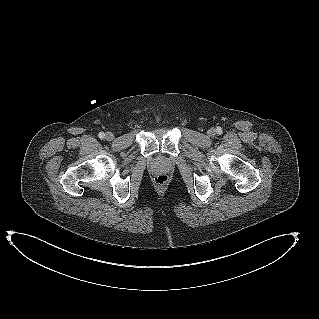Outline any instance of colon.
Here are the masks:
<instances>
[{"label": "colon", "mask_w": 319, "mask_h": 319, "mask_svg": "<svg viewBox=\"0 0 319 319\" xmlns=\"http://www.w3.org/2000/svg\"><path fill=\"white\" fill-rule=\"evenodd\" d=\"M154 181L159 186H164L168 182V176L166 174H158L155 176Z\"/></svg>", "instance_id": "5ec220e1"}]
</instances>
